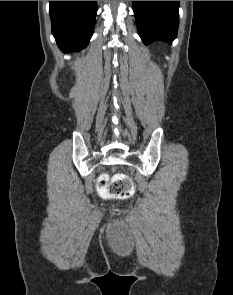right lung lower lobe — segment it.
Listing matches in <instances>:
<instances>
[{"label":"right lung lower lobe","mask_w":233,"mask_h":295,"mask_svg":"<svg viewBox=\"0 0 233 295\" xmlns=\"http://www.w3.org/2000/svg\"><path fill=\"white\" fill-rule=\"evenodd\" d=\"M52 34L64 53L85 48L93 34L97 1H49Z\"/></svg>","instance_id":"98d812e1"}]
</instances>
